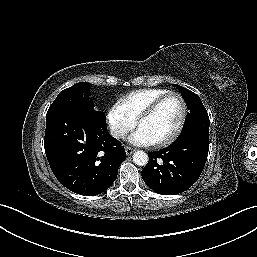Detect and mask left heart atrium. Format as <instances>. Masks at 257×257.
Instances as JSON below:
<instances>
[{
    "label": "left heart atrium",
    "instance_id": "1",
    "mask_svg": "<svg viewBox=\"0 0 257 257\" xmlns=\"http://www.w3.org/2000/svg\"><path fill=\"white\" fill-rule=\"evenodd\" d=\"M129 141L130 143L138 146H150L155 143L141 128H138L134 133L131 134Z\"/></svg>",
    "mask_w": 257,
    "mask_h": 257
}]
</instances>
